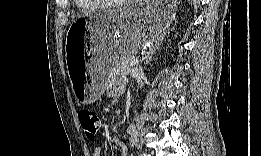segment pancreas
I'll use <instances>...</instances> for the list:
<instances>
[{"instance_id": "obj_1", "label": "pancreas", "mask_w": 261, "mask_h": 156, "mask_svg": "<svg viewBox=\"0 0 261 156\" xmlns=\"http://www.w3.org/2000/svg\"><path fill=\"white\" fill-rule=\"evenodd\" d=\"M133 59L131 55H124L120 57L117 61L112 62L109 67L110 74H120L127 75L130 71V67L128 63Z\"/></svg>"}]
</instances>
